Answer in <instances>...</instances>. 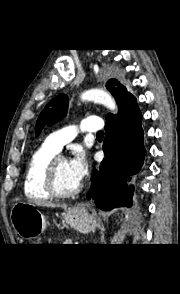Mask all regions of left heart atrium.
I'll return each instance as SVG.
<instances>
[{
  "instance_id": "obj_1",
  "label": "left heart atrium",
  "mask_w": 180,
  "mask_h": 294,
  "mask_svg": "<svg viewBox=\"0 0 180 294\" xmlns=\"http://www.w3.org/2000/svg\"><path fill=\"white\" fill-rule=\"evenodd\" d=\"M69 167L74 178L81 183L88 174V162L85 153L81 150L76 151L69 161Z\"/></svg>"
}]
</instances>
